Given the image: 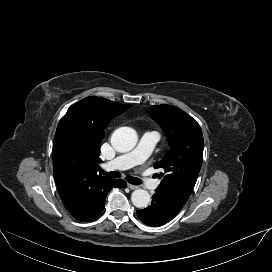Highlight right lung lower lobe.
<instances>
[{
  "mask_svg": "<svg viewBox=\"0 0 272 272\" xmlns=\"http://www.w3.org/2000/svg\"><path fill=\"white\" fill-rule=\"evenodd\" d=\"M126 182L125 181H123V180H120V179H114L113 180V185H112V188L113 187H119V188H125L126 187ZM106 199V198H105ZM104 204H105V200L102 202V204H101V206H100V208H99V210L96 212V214L91 218V219H94L102 210H103V208H104ZM90 219V220H91Z\"/></svg>",
  "mask_w": 272,
  "mask_h": 272,
  "instance_id": "1",
  "label": "right lung lower lobe"
}]
</instances>
